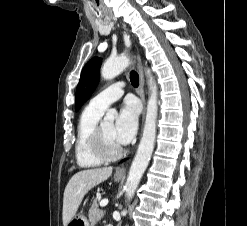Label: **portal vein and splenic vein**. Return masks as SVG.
Masks as SVG:
<instances>
[{
	"mask_svg": "<svg viewBox=\"0 0 247 226\" xmlns=\"http://www.w3.org/2000/svg\"><path fill=\"white\" fill-rule=\"evenodd\" d=\"M108 204V199H103L101 202H100V206L101 207H104Z\"/></svg>",
	"mask_w": 247,
	"mask_h": 226,
	"instance_id": "18ae733b",
	"label": "portal vein and splenic vein"
}]
</instances>
